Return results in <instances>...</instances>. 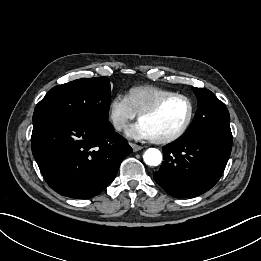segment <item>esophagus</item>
Instances as JSON below:
<instances>
[{"instance_id": "1", "label": "esophagus", "mask_w": 261, "mask_h": 261, "mask_svg": "<svg viewBox=\"0 0 261 261\" xmlns=\"http://www.w3.org/2000/svg\"><path fill=\"white\" fill-rule=\"evenodd\" d=\"M130 145H131V147L133 148V151H134V152H137V151H139V150L142 149V146L137 145V144H135V143H130Z\"/></svg>"}]
</instances>
